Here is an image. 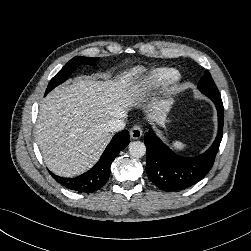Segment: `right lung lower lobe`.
<instances>
[{
    "mask_svg": "<svg viewBox=\"0 0 251 251\" xmlns=\"http://www.w3.org/2000/svg\"><path fill=\"white\" fill-rule=\"evenodd\" d=\"M130 142L129 133H117L106 147L99 161L86 173L75 177H60L49 171L51 176L64 187L83 193H92L103 187L109 179L111 163Z\"/></svg>",
    "mask_w": 251,
    "mask_h": 251,
    "instance_id": "right-lung-lower-lobe-1",
    "label": "right lung lower lobe"
}]
</instances>
